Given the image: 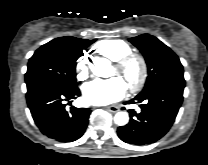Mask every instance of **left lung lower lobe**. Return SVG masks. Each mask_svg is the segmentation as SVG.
Here are the masks:
<instances>
[{
    "label": "left lung lower lobe",
    "mask_w": 208,
    "mask_h": 165,
    "mask_svg": "<svg viewBox=\"0 0 208 165\" xmlns=\"http://www.w3.org/2000/svg\"><path fill=\"white\" fill-rule=\"evenodd\" d=\"M185 80H168L138 94L126 104H140L141 112L129 110L130 122L118 128L126 143L144 145L163 137L175 121L183 101Z\"/></svg>",
    "instance_id": "1"
}]
</instances>
